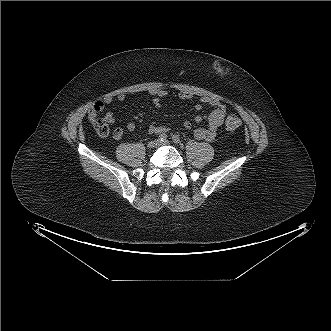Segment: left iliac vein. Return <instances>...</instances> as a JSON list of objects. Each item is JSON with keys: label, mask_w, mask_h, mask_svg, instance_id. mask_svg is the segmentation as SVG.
Returning <instances> with one entry per match:
<instances>
[{"label": "left iliac vein", "mask_w": 331, "mask_h": 331, "mask_svg": "<svg viewBox=\"0 0 331 331\" xmlns=\"http://www.w3.org/2000/svg\"><path fill=\"white\" fill-rule=\"evenodd\" d=\"M170 142L167 140V141H164V142H160L159 145H169Z\"/></svg>", "instance_id": "4c4485c4"}]
</instances>
